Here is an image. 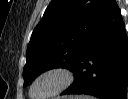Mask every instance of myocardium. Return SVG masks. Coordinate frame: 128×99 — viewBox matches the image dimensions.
<instances>
[{
  "label": "myocardium",
  "instance_id": "f54148a6",
  "mask_svg": "<svg viewBox=\"0 0 128 99\" xmlns=\"http://www.w3.org/2000/svg\"><path fill=\"white\" fill-rule=\"evenodd\" d=\"M52 74L59 75L62 78V82L60 83V85L58 87H56V89L53 90L48 95H45V96H42V97L34 96L33 95V88L36 85V83L41 78H43L44 76L52 75ZM74 80H75L74 71L71 68H69L68 66L59 65V66L49 67V68L41 71L34 78V80L32 81V83L30 85L29 95L32 98H42V99L52 98V97H55V96L59 95L60 93H62L66 89H68L73 84Z\"/></svg>",
  "mask_w": 128,
  "mask_h": 99
}]
</instances>
